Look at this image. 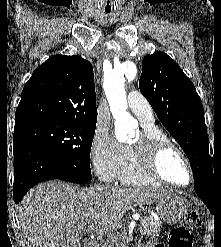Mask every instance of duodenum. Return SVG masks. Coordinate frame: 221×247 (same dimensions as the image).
<instances>
[{
  "instance_id": "1",
  "label": "duodenum",
  "mask_w": 221,
  "mask_h": 247,
  "mask_svg": "<svg viewBox=\"0 0 221 247\" xmlns=\"http://www.w3.org/2000/svg\"><path fill=\"white\" fill-rule=\"evenodd\" d=\"M86 247H96V244L94 242H89Z\"/></svg>"
}]
</instances>
